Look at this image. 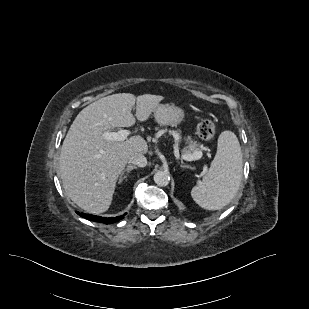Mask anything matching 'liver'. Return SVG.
Wrapping results in <instances>:
<instances>
[{"mask_svg": "<svg viewBox=\"0 0 309 309\" xmlns=\"http://www.w3.org/2000/svg\"><path fill=\"white\" fill-rule=\"evenodd\" d=\"M163 99L151 94H113L91 103L76 116L61 147L59 173L66 194L80 208L90 213L107 211L129 158L148 151L140 135L111 141L104 139L103 133L134 125L131 110L135 103L137 120H148Z\"/></svg>", "mask_w": 309, "mask_h": 309, "instance_id": "1", "label": "liver"}]
</instances>
